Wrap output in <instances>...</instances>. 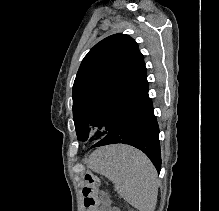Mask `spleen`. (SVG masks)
<instances>
[{"instance_id": "spleen-1", "label": "spleen", "mask_w": 219, "mask_h": 211, "mask_svg": "<svg viewBox=\"0 0 219 211\" xmlns=\"http://www.w3.org/2000/svg\"><path fill=\"white\" fill-rule=\"evenodd\" d=\"M88 167L114 183L119 195L139 211H154L157 203V171L149 157L123 143L103 145L92 151Z\"/></svg>"}]
</instances>
